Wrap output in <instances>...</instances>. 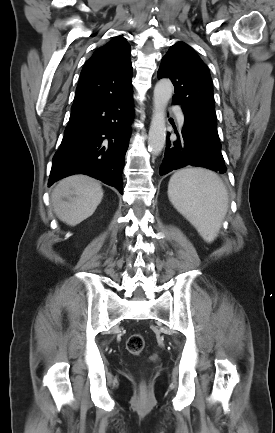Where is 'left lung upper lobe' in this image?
Here are the masks:
<instances>
[{"instance_id":"1","label":"left lung upper lobe","mask_w":275,"mask_h":433,"mask_svg":"<svg viewBox=\"0 0 275 433\" xmlns=\"http://www.w3.org/2000/svg\"><path fill=\"white\" fill-rule=\"evenodd\" d=\"M158 77L170 78L175 87L173 102L182 105L183 129L201 135L225 164L217 131L213 84L206 64L189 45L178 42L163 57Z\"/></svg>"}]
</instances>
